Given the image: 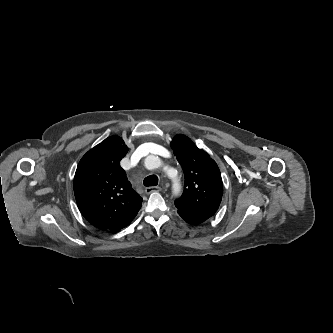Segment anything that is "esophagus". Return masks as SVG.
I'll return each instance as SVG.
<instances>
[{
	"label": "esophagus",
	"mask_w": 333,
	"mask_h": 333,
	"mask_svg": "<svg viewBox=\"0 0 333 333\" xmlns=\"http://www.w3.org/2000/svg\"><path fill=\"white\" fill-rule=\"evenodd\" d=\"M160 191H161V187H159V186L147 187V188L145 189V192H146L147 194H150V193H153V192H160Z\"/></svg>",
	"instance_id": "esophagus-1"
}]
</instances>
